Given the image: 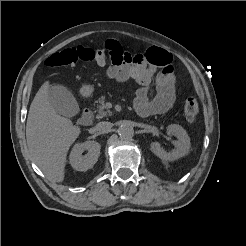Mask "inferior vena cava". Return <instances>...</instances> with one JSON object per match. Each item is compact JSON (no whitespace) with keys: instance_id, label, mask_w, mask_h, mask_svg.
<instances>
[{"instance_id":"inferior-vena-cava-1","label":"inferior vena cava","mask_w":246,"mask_h":246,"mask_svg":"<svg viewBox=\"0 0 246 246\" xmlns=\"http://www.w3.org/2000/svg\"><path fill=\"white\" fill-rule=\"evenodd\" d=\"M111 127H112V123L106 122V121L99 122L96 125V129L98 131H107V130L111 129Z\"/></svg>"}]
</instances>
